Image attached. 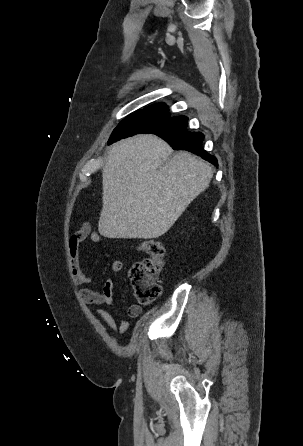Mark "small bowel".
<instances>
[{"label":"small bowel","instance_id":"obj_1","mask_svg":"<svg viewBox=\"0 0 303 446\" xmlns=\"http://www.w3.org/2000/svg\"><path fill=\"white\" fill-rule=\"evenodd\" d=\"M87 239L93 243H99L101 236L97 231L92 230L88 223H83L69 240L70 271L74 283L78 286L90 285L93 282V279L85 273L80 263L81 244ZM111 268L113 272L119 273L124 269V264L120 260H115ZM113 289V280L107 279L101 291L85 287L81 288L79 293L82 300L87 304L111 307L113 304ZM142 311L143 309L140 305L132 304L127 307L126 315L128 318H137ZM95 313L106 322L111 331L120 335L127 333L129 322L126 319L117 320L111 312L105 309H97Z\"/></svg>","mask_w":303,"mask_h":446}]
</instances>
